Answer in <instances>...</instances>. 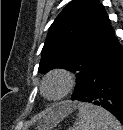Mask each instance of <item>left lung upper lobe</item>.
<instances>
[{"mask_svg": "<svg viewBox=\"0 0 123 130\" xmlns=\"http://www.w3.org/2000/svg\"><path fill=\"white\" fill-rule=\"evenodd\" d=\"M116 40L108 15L98 0H73L49 28L39 71L53 68L76 72L75 100L98 57Z\"/></svg>", "mask_w": 123, "mask_h": 130, "instance_id": "5c2ea615", "label": "left lung upper lobe"}]
</instances>
